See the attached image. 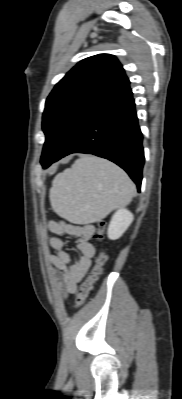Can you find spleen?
Here are the masks:
<instances>
[{
  "label": "spleen",
  "instance_id": "3e777b00",
  "mask_svg": "<svg viewBox=\"0 0 182 399\" xmlns=\"http://www.w3.org/2000/svg\"><path fill=\"white\" fill-rule=\"evenodd\" d=\"M134 193L133 182L120 167L85 155L54 178L49 197L59 216L72 223L88 224L127 205Z\"/></svg>",
  "mask_w": 182,
  "mask_h": 399
}]
</instances>
